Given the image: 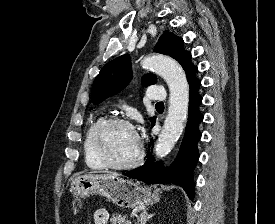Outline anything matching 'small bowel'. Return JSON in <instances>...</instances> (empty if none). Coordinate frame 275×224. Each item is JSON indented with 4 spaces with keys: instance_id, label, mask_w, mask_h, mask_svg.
Listing matches in <instances>:
<instances>
[{
    "instance_id": "obj_1",
    "label": "small bowel",
    "mask_w": 275,
    "mask_h": 224,
    "mask_svg": "<svg viewBox=\"0 0 275 224\" xmlns=\"http://www.w3.org/2000/svg\"><path fill=\"white\" fill-rule=\"evenodd\" d=\"M109 219L108 212L105 209H98L94 213V224H107Z\"/></svg>"
}]
</instances>
